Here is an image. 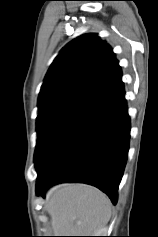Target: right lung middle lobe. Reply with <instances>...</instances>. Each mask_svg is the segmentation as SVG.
Instances as JSON below:
<instances>
[{"label":"right lung middle lobe","mask_w":158,"mask_h":237,"mask_svg":"<svg viewBox=\"0 0 158 237\" xmlns=\"http://www.w3.org/2000/svg\"><path fill=\"white\" fill-rule=\"evenodd\" d=\"M82 104L83 103L70 98L52 99L38 103V137L36 151L39 148L41 142L44 140V138L71 112H73L77 107Z\"/></svg>","instance_id":"1"}]
</instances>
